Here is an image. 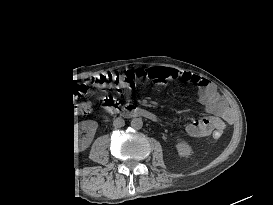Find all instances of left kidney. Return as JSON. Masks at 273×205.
I'll return each mask as SVG.
<instances>
[{
  "mask_svg": "<svg viewBox=\"0 0 273 205\" xmlns=\"http://www.w3.org/2000/svg\"><path fill=\"white\" fill-rule=\"evenodd\" d=\"M176 149L178 154L182 157H188L192 154L191 146L184 141L178 142L176 144Z\"/></svg>",
  "mask_w": 273,
  "mask_h": 205,
  "instance_id": "5707ae66",
  "label": "left kidney"
}]
</instances>
